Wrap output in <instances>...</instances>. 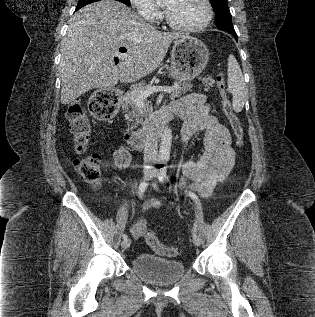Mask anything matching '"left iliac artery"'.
Instances as JSON below:
<instances>
[{
    "instance_id": "44dca946",
    "label": "left iliac artery",
    "mask_w": 315,
    "mask_h": 317,
    "mask_svg": "<svg viewBox=\"0 0 315 317\" xmlns=\"http://www.w3.org/2000/svg\"><path fill=\"white\" fill-rule=\"evenodd\" d=\"M166 177H167V169L165 166H163L161 169H160V173L158 175V179L161 183H163L165 180H166ZM189 196L194 199L197 203V197L195 196V194L193 193H189ZM194 231L197 232V225L196 223L194 224V227H193Z\"/></svg>"
}]
</instances>
